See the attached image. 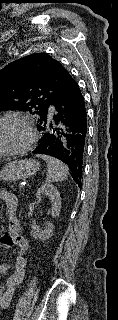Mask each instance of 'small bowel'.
Returning a JSON list of instances; mask_svg holds the SVG:
<instances>
[{
	"instance_id": "obj_1",
	"label": "small bowel",
	"mask_w": 118,
	"mask_h": 320,
	"mask_svg": "<svg viewBox=\"0 0 118 320\" xmlns=\"http://www.w3.org/2000/svg\"><path fill=\"white\" fill-rule=\"evenodd\" d=\"M0 198L3 199L6 204H9L11 195L10 194H1ZM13 226H17L18 224L16 220L11 219L10 221V229ZM20 247V246H18ZM24 247V246H23ZM24 268H25V260L24 258H18L13 266H12V272L10 276L7 278V280L4 283V287L1 288L2 291H0V308L1 309H7L11 303L14 290L17 285L20 284V282L23 279L24 275ZM9 269L8 265H2L0 266V274L7 271Z\"/></svg>"
}]
</instances>
